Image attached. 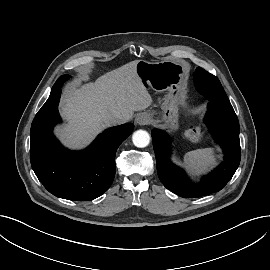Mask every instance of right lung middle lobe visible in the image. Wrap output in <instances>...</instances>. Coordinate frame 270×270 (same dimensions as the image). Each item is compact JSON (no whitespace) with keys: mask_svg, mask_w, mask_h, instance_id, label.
Listing matches in <instances>:
<instances>
[{"mask_svg":"<svg viewBox=\"0 0 270 270\" xmlns=\"http://www.w3.org/2000/svg\"><path fill=\"white\" fill-rule=\"evenodd\" d=\"M70 76L69 75H63L61 76L54 84L53 88L51 91H54L58 88H60L63 84V82H65Z\"/></svg>","mask_w":270,"mask_h":270,"instance_id":"obj_1","label":"right lung middle lobe"}]
</instances>
